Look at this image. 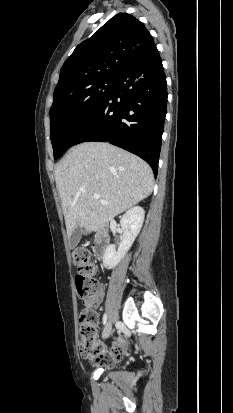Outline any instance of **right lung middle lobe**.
<instances>
[{
  "label": "right lung middle lobe",
  "mask_w": 233,
  "mask_h": 413,
  "mask_svg": "<svg viewBox=\"0 0 233 413\" xmlns=\"http://www.w3.org/2000/svg\"><path fill=\"white\" fill-rule=\"evenodd\" d=\"M114 78L101 79L53 102L50 138L59 158L99 112L113 91Z\"/></svg>",
  "instance_id": "right-lung-middle-lobe-1"
}]
</instances>
